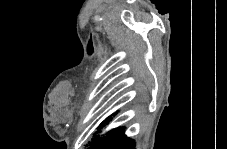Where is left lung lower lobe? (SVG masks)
Wrapping results in <instances>:
<instances>
[{"instance_id":"obj_1","label":"left lung lower lobe","mask_w":227,"mask_h":149,"mask_svg":"<svg viewBox=\"0 0 227 149\" xmlns=\"http://www.w3.org/2000/svg\"><path fill=\"white\" fill-rule=\"evenodd\" d=\"M108 120H111V117H108L103 121L98 128L104 127L105 123L108 124ZM89 145L91 146L90 149H134L135 142L124 134V127H118L102 136L96 135L95 133L94 138H92V142H89Z\"/></svg>"}]
</instances>
